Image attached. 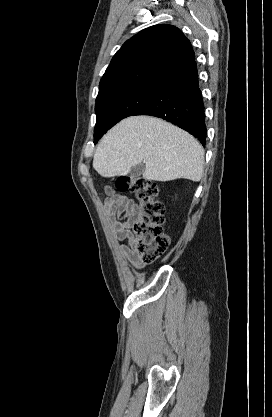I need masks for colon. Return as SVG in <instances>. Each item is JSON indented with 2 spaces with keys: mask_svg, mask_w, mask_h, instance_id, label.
<instances>
[{
  "mask_svg": "<svg viewBox=\"0 0 272 417\" xmlns=\"http://www.w3.org/2000/svg\"><path fill=\"white\" fill-rule=\"evenodd\" d=\"M116 188L132 192L139 202L131 231L142 261L152 263L166 252L170 243L164 232L165 207L158 199V186L144 177L124 176L117 179Z\"/></svg>",
  "mask_w": 272,
  "mask_h": 417,
  "instance_id": "colon-1",
  "label": "colon"
}]
</instances>
